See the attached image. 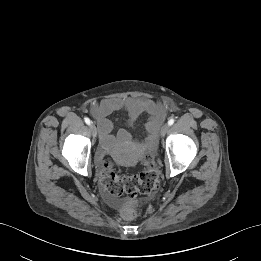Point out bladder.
<instances>
[{"mask_svg": "<svg viewBox=\"0 0 261 261\" xmlns=\"http://www.w3.org/2000/svg\"><path fill=\"white\" fill-rule=\"evenodd\" d=\"M129 140V137L127 136H116L113 137L111 142L108 144L109 148L117 153L115 156L116 160L120 163L126 164L128 163V158L125 156V153L121 150L122 144H124L126 141ZM153 140L147 139L141 142L136 143L137 148L141 152H147L152 147ZM138 157L135 156V159Z\"/></svg>", "mask_w": 261, "mask_h": 261, "instance_id": "bladder-1", "label": "bladder"}]
</instances>
